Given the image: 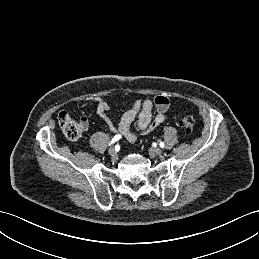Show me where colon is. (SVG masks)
Wrapping results in <instances>:
<instances>
[{"label":"colon","mask_w":259,"mask_h":259,"mask_svg":"<svg viewBox=\"0 0 259 259\" xmlns=\"http://www.w3.org/2000/svg\"><path fill=\"white\" fill-rule=\"evenodd\" d=\"M59 126L64 136L70 141H76L82 136V129L80 125L72 120L65 112H61L58 116ZM194 118L192 116H185L180 120V126L186 133H191L194 128Z\"/></svg>","instance_id":"1"}]
</instances>
